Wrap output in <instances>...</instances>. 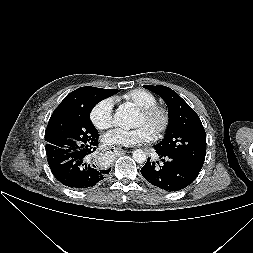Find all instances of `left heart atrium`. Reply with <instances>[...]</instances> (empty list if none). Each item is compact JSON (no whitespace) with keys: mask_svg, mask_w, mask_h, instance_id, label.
I'll list each match as a JSON object with an SVG mask.
<instances>
[{"mask_svg":"<svg viewBox=\"0 0 253 253\" xmlns=\"http://www.w3.org/2000/svg\"><path fill=\"white\" fill-rule=\"evenodd\" d=\"M154 132L146 125L134 129H114L103 136V142L109 146H135L153 140Z\"/></svg>","mask_w":253,"mask_h":253,"instance_id":"1","label":"left heart atrium"}]
</instances>
